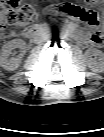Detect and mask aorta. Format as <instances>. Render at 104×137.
<instances>
[{
	"label": "aorta",
	"mask_w": 104,
	"mask_h": 137,
	"mask_svg": "<svg viewBox=\"0 0 104 137\" xmlns=\"http://www.w3.org/2000/svg\"><path fill=\"white\" fill-rule=\"evenodd\" d=\"M61 38H64L66 36V31L65 30H61L59 33Z\"/></svg>",
	"instance_id": "obj_1"
}]
</instances>
